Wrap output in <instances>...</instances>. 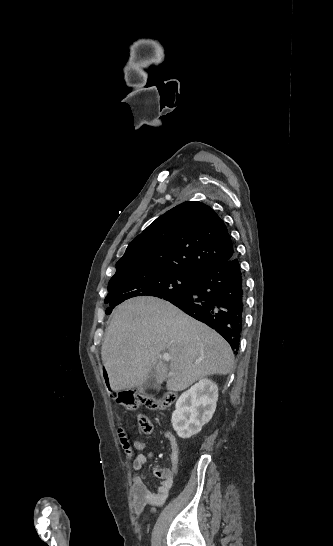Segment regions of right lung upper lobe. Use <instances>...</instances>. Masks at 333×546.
<instances>
[{"mask_svg":"<svg viewBox=\"0 0 333 546\" xmlns=\"http://www.w3.org/2000/svg\"><path fill=\"white\" fill-rule=\"evenodd\" d=\"M236 255L230 235L209 206L188 201L157 218L133 239L116 269L200 276Z\"/></svg>","mask_w":333,"mask_h":546,"instance_id":"obj_1","label":"right lung upper lobe"}]
</instances>
